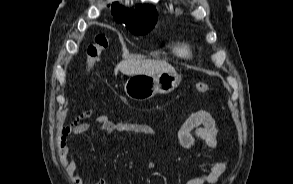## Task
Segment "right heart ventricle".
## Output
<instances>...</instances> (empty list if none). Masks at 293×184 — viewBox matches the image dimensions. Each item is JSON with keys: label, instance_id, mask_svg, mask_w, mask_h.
<instances>
[{"label": "right heart ventricle", "instance_id": "e07e8e85", "mask_svg": "<svg viewBox=\"0 0 293 184\" xmlns=\"http://www.w3.org/2000/svg\"><path fill=\"white\" fill-rule=\"evenodd\" d=\"M172 50L175 55L182 58H189L193 54L192 47L185 41H179L175 43L172 47Z\"/></svg>", "mask_w": 293, "mask_h": 184}]
</instances>
